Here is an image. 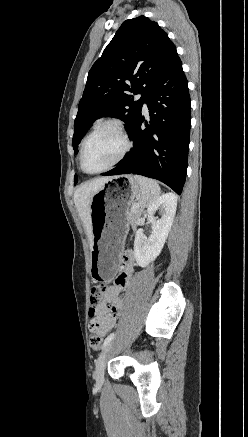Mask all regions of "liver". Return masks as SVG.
I'll use <instances>...</instances> for the list:
<instances>
[{"label":"liver","mask_w":248,"mask_h":437,"mask_svg":"<svg viewBox=\"0 0 248 437\" xmlns=\"http://www.w3.org/2000/svg\"><path fill=\"white\" fill-rule=\"evenodd\" d=\"M110 179L101 177L81 184L74 192V203L86 228L90 246L92 247L91 199L92 196Z\"/></svg>","instance_id":"1"}]
</instances>
